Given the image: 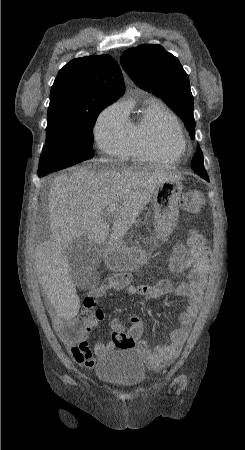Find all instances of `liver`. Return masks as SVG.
I'll use <instances>...</instances> for the list:
<instances>
[{"mask_svg":"<svg viewBox=\"0 0 245 450\" xmlns=\"http://www.w3.org/2000/svg\"><path fill=\"white\" fill-rule=\"evenodd\" d=\"M182 177L165 171L140 169L100 170L73 168L71 174L53 179L49 195L50 239L35 251V269L43 290L57 313L73 318L79 297L71 276L66 250L70 243L86 237L100 245L109 237L122 239L149 203L159 183ZM114 206L110 230L104 216ZM110 231V236H109Z\"/></svg>","mask_w":245,"mask_h":450,"instance_id":"6515ba94","label":"liver"}]
</instances>
